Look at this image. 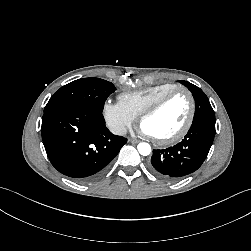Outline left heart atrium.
Masks as SVG:
<instances>
[{
	"mask_svg": "<svg viewBox=\"0 0 251 251\" xmlns=\"http://www.w3.org/2000/svg\"><path fill=\"white\" fill-rule=\"evenodd\" d=\"M140 130L143 134H145L147 136H151L150 133L147 131V129L145 127H143L142 125L140 126Z\"/></svg>",
	"mask_w": 251,
	"mask_h": 251,
	"instance_id": "1",
	"label": "left heart atrium"
}]
</instances>
